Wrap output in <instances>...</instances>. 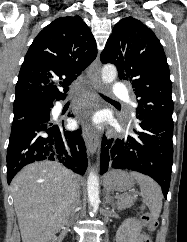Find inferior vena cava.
I'll use <instances>...</instances> for the list:
<instances>
[{
    "label": "inferior vena cava",
    "instance_id": "1",
    "mask_svg": "<svg viewBox=\"0 0 187 242\" xmlns=\"http://www.w3.org/2000/svg\"><path fill=\"white\" fill-rule=\"evenodd\" d=\"M71 210H72V217L74 216V211L80 204V187L77 182H73L71 187Z\"/></svg>",
    "mask_w": 187,
    "mask_h": 242
}]
</instances>
